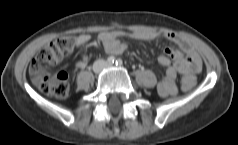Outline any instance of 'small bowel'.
I'll return each mask as SVG.
<instances>
[{"instance_id": "obj_1", "label": "small bowel", "mask_w": 238, "mask_h": 145, "mask_svg": "<svg viewBox=\"0 0 238 145\" xmlns=\"http://www.w3.org/2000/svg\"><path fill=\"white\" fill-rule=\"evenodd\" d=\"M98 38L105 50L113 54H121L126 50L127 45L123 42V39L152 41L165 38L177 44L179 47L178 51L172 47H168L165 50V54L158 57V63L166 68L165 75L157 86L158 93L163 97L177 93L176 78L178 74L183 76V82L190 81V84L183 89L188 90L192 88L195 84L194 74L199 72L202 68L201 60L192 44L187 39L173 32L160 33L155 31L112 30L102 32ZM74 40L80 52V59L76 61L75 67L77 69H83L89 60L87 48L92 37L90 34L81 33L74 36ZM170 58L174 61L172 65Z\"/></svg>"}]
</instances>
